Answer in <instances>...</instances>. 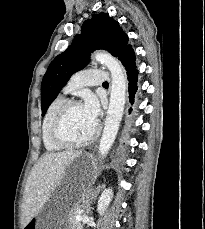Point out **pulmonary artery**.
<instances>
[{"mask_svg":"<svg viewBox=\"0 0 205 229\" xmlns=\"http://www.w3.org/2000/svg\"><path fill=\"white\" fill-rule=\"evenodd\" d=\"M108 80L109 75L104 70L95 68L84 69L73 75L64 91H69L83 85H101Z\"/></svg>","mask_w":205,"mask_h":229,"instance_id":"e3ab8cb5","label":"pulmonary artery"}]
</instances>
